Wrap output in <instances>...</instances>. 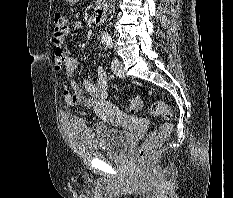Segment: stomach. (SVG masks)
<instances>
[{"instance_id":"0dacf381","label":"stomach","mask_w":233,"mask_h":198,"mask_svg":"<svg viewBox=\"0 0 233 198\" xmlns=\"http://www.w3.org/2000/svg\"><path fill=\"white\" fill-rule=\"evenodd\" d=\"M70 5H74L79 2V0H67Z\"/></svg>"}]
</instances>
